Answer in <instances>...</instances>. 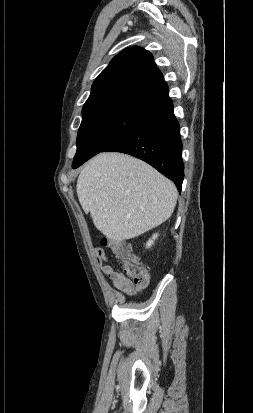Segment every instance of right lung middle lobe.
<instances>
[{"instance_id":"obj_1","label":"right lung middle lobe","mask_w":253,"mask_h":413,"mask_svg":"<svg viewBox=\"0 0 253 413\" xmlns=\"http://www.w3.org/2000/svg\"><path fill=\"white\" fill-rule=\"evenodd\" d=\"M148 117L128 112H108L82 120L73 165L79 166L138 128Z\"/></svg>"}]
</instances>
